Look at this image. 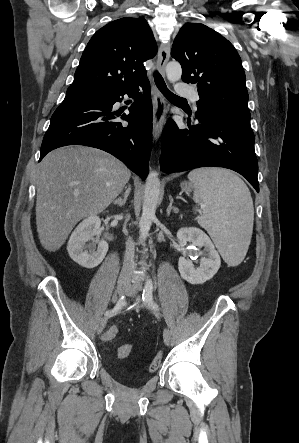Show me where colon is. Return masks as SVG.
Returning <instances> with one entry per match:
<instances>
[{"mask_svg": "<svg viewBox=\"0 0 299 443\" xmlns=\"http://www.w3.org/2000/svg\"><path fill=\"white\" fill-rule=\"evenodd\" d=\"M118 335V328L116 326H110L107 328L102 336V339L104 341H110L114 339ZM133 352V347L130 344L123 345L118 350V356L120 359H126L131 356ZM162 363V354L156 353L149 365V370L151 372H155L159 369L160 365Z\"/></svg>", "mask_w": 299, "mask_h": 443, "instance_id": "5ec220e1", "label": "colon"}]
</instances>
